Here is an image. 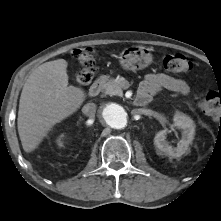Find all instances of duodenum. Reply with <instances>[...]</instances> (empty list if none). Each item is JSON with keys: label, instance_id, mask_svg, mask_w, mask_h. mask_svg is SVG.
Instances as JSON below:
<instances>
[{"label": "duodenum", "instance_id": "410a0bca", "mask_svg": "<svg viewBox=\"0 0 221 221\" xmlns=\"http://www.w3.org/2000/svg\"><path fill=\"white\" fill-rule=\"evenodd\" d=\"M101 89H102V79L99 78L90 86L89 95L91 97H96L99 95ZM150 101H151L150 96L144 93H139L134 99V103L138 106H145L149 104Z\"/></svg>", "mask_w": 221, "mask_h": 221}]
</instances>
